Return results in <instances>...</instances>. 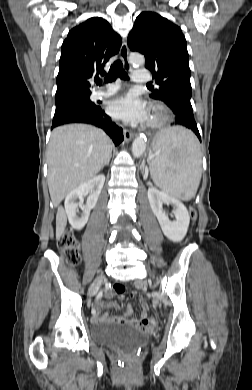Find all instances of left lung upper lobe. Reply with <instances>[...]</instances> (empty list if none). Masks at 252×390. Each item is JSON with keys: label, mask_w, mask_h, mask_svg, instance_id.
<instances>
[{"label": "left lung upper lobe", "mask_w": 252, "mask_h": 390, "mask_svg": "<svg viewBox=\"0 0 252 390\" xmlns=\"http://www.w3.org/2000/svg\"><path fill=\"white\" fill-rule=\"evenodd\" d=\"M127 41L131 51L145 56V67L159 85L152 98L164 102L174 95L191 98L189 55L177 25L157 13L142 12Z\"/></svg>", "instance_id": "1"}]
</instances>
